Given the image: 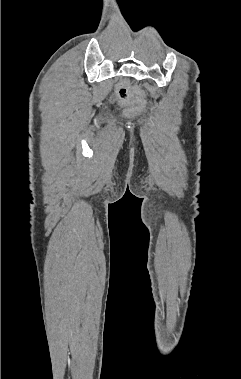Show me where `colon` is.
I'll list each match as a JSON object with an SVG mask.
<instances>
[{
	"mask_svg": "<svg viewBox=\"0 0 241 379\" xmlns=\"http://www.w3.org/2000/svg\"><path fill=\"white\" fill-rule=\"evenodd\" d=\"M117 97L122 104L130 106V113L135 114L144 107V102L141 99H132L127 90L120 86L117 90Z\"/></svg>",
	"mask_w": 241,
	"mask_h": 379,
	"instance_id": "1",
	"label": "colon"
}]
</instances>
